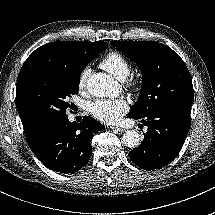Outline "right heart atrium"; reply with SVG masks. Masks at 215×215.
Segmentation results:
<instances>
[{"instance_id": "right-heart-atrium-1", "label": "right heart atrium", "mask_w": 215, "mask_h": 215, "mask_svg": "<svg viewBox=\"0 0 215 215\" xmlns=\"http://www.w3.org/2000/svg\"><path fill=\"white\" fill-rule=\"evenodd\" d=\"M90 73H91L90 67H85L80 71L77 80V89L79 92H83L86 90L87 81Z\"/></svg>"}]
</instances>
